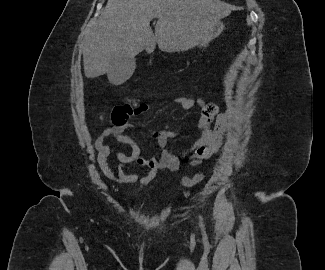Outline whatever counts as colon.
I'll return each mask as SVG.
<instances>
[{"label": "colon", "instance_id": "obj_1", "mask_svg": "<svg viewBox=\"0 0 325 270\" xmlns=\"http://www.w3.org/2000/svg\"><path fill=\"white\" fill-rule=\"evenodd\" d=\"M150 99H154V96L149 97ZM140 99H133L130 101V103H136V102H140ZM204 179V175L203 174H196L193 177H186L182 180V185L185 187H191L197 183H199L200 181H202Z\"/></svg>", "mask_w": 325, "mask_h": 270}]
</instances>
